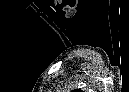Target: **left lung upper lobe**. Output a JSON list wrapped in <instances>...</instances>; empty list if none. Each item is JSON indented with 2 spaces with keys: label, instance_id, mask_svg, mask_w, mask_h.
Here are the masks:
<instances>
[{
  "label": "left lung upper lobe",
  "instance_id": "5c2ea615",
  "mask_svg": "<svg viewBox=\"0 0 129 92\" xmlns=\"http://www.w3.org/2000/svg\"><path fill=\"white\" fill-rule=\"evenodd\" d=\"M74 92H82L81 90L77 89V90H74Z\"/></svg>",
  "mask_w": 129,
  "mask_h": 92
}]
</instances>
